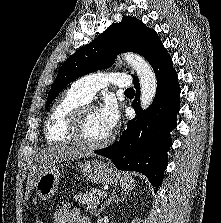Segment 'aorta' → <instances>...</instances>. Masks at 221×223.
<instances>
[{"label": "aorta", "mask_w": 221, "mask_h": 223, "mask_svg": "<svg viewBox=\"0 0 221 223\" xmlns=\"http://www.w3.org/2000/svg\"><path fill=\"white\" fill-rule=\"evenodd\" d=\"M122 59L137 73L141 88L140 105L143 109H147L153 102L157 90L155 73L149 63L140 55L126 53Z\"/></svg>", "instance_id": "obj_1"}]
</instances>
